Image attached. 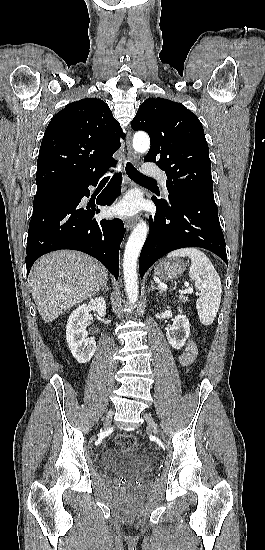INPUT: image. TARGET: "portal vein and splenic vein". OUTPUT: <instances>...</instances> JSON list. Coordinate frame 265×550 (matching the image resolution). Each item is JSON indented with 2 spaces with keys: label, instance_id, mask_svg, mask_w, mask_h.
<instances>
[{
  "label": "portal vein and splenic vein",
  "instance_id": "obj_1",
  "mask_svg": "<svg viewBox=\"0 0 265 550\" xmlns=\"http://www.w3.org/2000/svg\"><path fill=\"white\" fill-rule=\"evenodd\" d=\"M192 292H193V289L189 287V288L187 289V293H192Z\"/></svg>",
  "mask_w": 265,
  "mask_h": 550
}]
</instances>
